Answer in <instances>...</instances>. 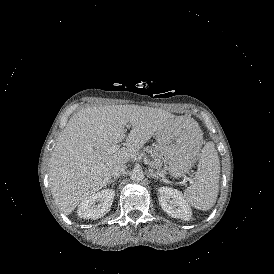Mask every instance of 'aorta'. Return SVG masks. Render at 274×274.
<instances>
[{
  "mask_svg": "<svg viewBox=\"0 0 274 274\" xmlns=\"http://www.w3.org/2000/svg\"><path fill=\"white\" fill-rule=\"evenodd\" d=\"M131 179L135 182H140L144 179V173L141 169H133L130 173Z\"/></svg>",
  "mask_w": 274,
  "mask_h": 274,
  "instance_id": "obj_1",
  "label": "aorta"
}]
</instances>
